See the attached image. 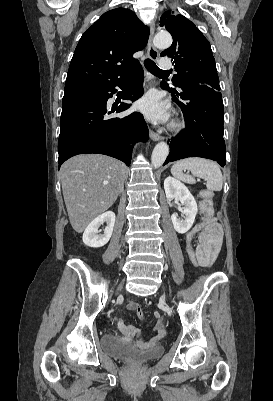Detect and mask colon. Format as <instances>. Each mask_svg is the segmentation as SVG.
<instances>
[{"label": "colon", "mask_w": 273, "mask_h": 401, "mask_svg": "<svg viewBox=\"0 0 273 401\" xmlns=\"http://www.w3.org/2000/svg\"><path fill=\"white\" fill-rule=\"evenodd\" d=\"M204 227V232L200 233L201 241H219L220 240V225L215 221V219L211 216H206L205 221L202 224ZM144 306L139 304L136 307L135 314L137 316L144 315Z\"/></svg>", "instance_id": "obj_1"}]
</instances>
